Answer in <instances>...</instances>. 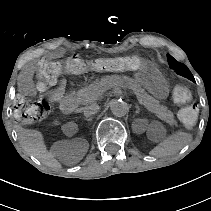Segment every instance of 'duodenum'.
Instances as JSON below:
<instances>
[{
	"mask_svg": "<svg viewBox=\"0 0 211 211\" xmlns=\"http://www.w3.org/2000/svg\"><path fill=\"white\" fill-rule=\"evenodd\" d=\"M60 109L65 114L72 113L75 109V102L73 98L70 96L63 98L62 101L60 102Z\"/></svg>",
	"mask_w": 211,
	"mask_h": 211,
	"instance_id": "410a0bca",
	"label": "duodenum"
}]
</instances>
